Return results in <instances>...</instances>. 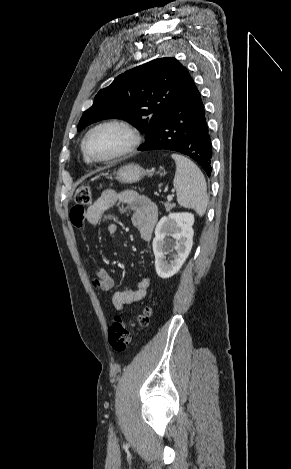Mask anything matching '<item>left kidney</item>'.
Instances as JSON below:
<instances>
[{"label": "left kidney", "instance_id": "obj_1", "mask_svg": "<svg viewBox=\"0 0 291 469\" xmlns=\"http://www.w3.org/2000/svg\"><path fill=\"white\" fill-rule=\"evenodd\" d=\"M193 224L194 215L188 212L170 213L158 222L152 246L159 277H172L184 264L193 245ZM169 236L172 239L168 238ZM173 250L176 254L172 255L173 259L168 263L165 255Z\"/></svg>", "mask_w": 291, "mask_h": 469}]
</instances>
